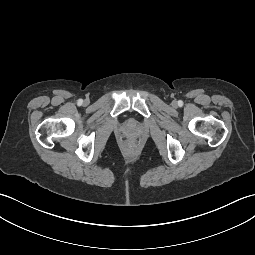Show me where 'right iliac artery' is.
Returning a JSON list of instances; mask_svg holds the SVG:
<instances>
[{
	"label": "right iliac artery",
	"instance_id": "obj_1",
	"mask_svg": "<svg viewBox=\"0 0 255 255\" xmlns=\"http://www.w3.org/2000/svg\"><path fill=\"white\" fill-rule=\"evenodd\" d=\"M83 103V100L82 99H79L78 100V104L81 105Z\"/></svg>",
	"mask_w": 255,
	"mask_h": 255
}]
</instances>
